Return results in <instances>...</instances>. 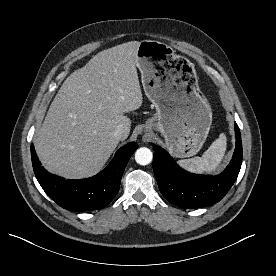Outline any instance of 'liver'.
Returning a JSON list of instances; mask_svg holds the SVG:
<instances>
[{
	"instance_id": "obj_1",
	"label": "liver",
	"mask_w": 276,
	"mask_h": 276,
	"mask_svg": "<svg viewBox=\"0 0 276 276\" xmlns=\"http://www.w3.org/2000/svg\"><path fill=\"white\" fill-rule=\"evenodd\" d=\"M140 42L130 41L93 56L63 82L37 132L35 150L42 165L66 179L97 174L116 149L113 132L140 108L136 69Z\"/></svg>"
}]
</instances>
